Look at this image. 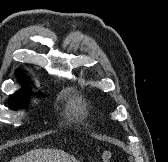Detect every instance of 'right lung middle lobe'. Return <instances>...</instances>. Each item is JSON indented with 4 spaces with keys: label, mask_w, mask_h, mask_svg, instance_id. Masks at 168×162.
I'll list each match as a JSON object with an SVG mask.
<instances>
[{
    "label": "right lung middle lobe",
    "mask_w": 168,
    "mask_h": 162,
    "mask_svg": "<svg viewBox=\"0 0 168 162\" xmlns=\"http://www.w3.org/2000/svg\"><path fill=\"white\" fill-rule=\"evenodd\" d=\"M30 95V90L24 88L22 91L16 92L13 96L9 99L10 107L13 109L23 108L28 101V97Z\"/></svg>",
    "instance_id": "1"
}]
</instances>
